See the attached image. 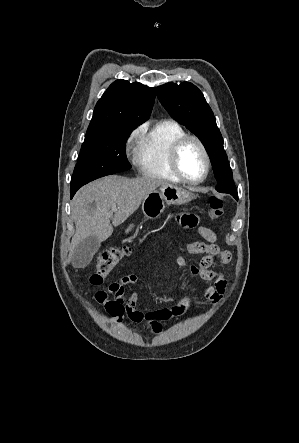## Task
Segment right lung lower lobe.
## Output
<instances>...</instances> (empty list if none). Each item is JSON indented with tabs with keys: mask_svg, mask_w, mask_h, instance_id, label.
Listing matches in <instances>:
<instances>
[{
	"mask_svg": "<svg viewBox=\"0 0 299 443\" xmlns=\"http://www.w3.org/2000/svg\"><path fill=\"white\" fill-rule=\"evenodd\" d=\"M77 190H78V188H75V189H71V190H70L71 198L74 196V194L76 193Z\"/></svg>",
	"mask_w": 299,
	"mask_h": 443,
	"instance_id": "98d812e1",
	"label": "right lung lower lobe"
}]
</instances>
